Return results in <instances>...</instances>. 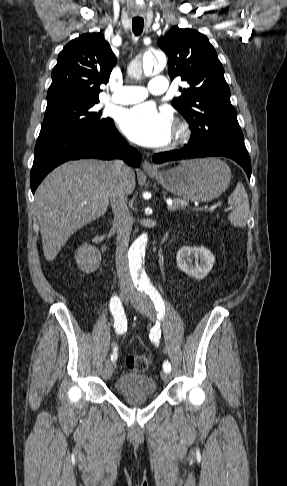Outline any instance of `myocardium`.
Returning <instances> with one entry per match:
<instances>
[{
  "mask_svg": "<svg viewBox=\"0 0 287 486\" xmlns=\"http://www.w3.org/2000/svg\"><path fill=\"white\" fill-rule=\"evenodd\" d=\"M191 130L186 122H181L177 125L174 133V141L176 143H183L189 139Z\"/></svg>",
  "mask_w": 287,
  "mask_h": 486,
  "instance_id": "myocardium-1",
  "label": "myocardium"
}]
</instances>
